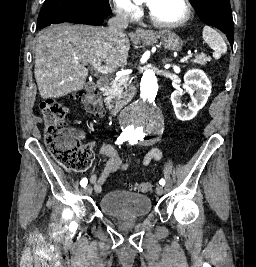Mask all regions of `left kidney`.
I'll return each mask as SVG.
<instances>
[{
  "instance_id": "5707ae66",
  "label": "left kidney",
  "mask_w": 256,
  "mask_h": 267,
  "mask_svg": "<svg viewBox=\"0 0 256 267\" xmlns=\"http://www.w3.org/2000/svg\"><path fill=\"white\" fill-rule=\"evenodd\" d=\"M211 82H209L203 70H188L184 76V84L179 90H174L171 94V102L174 112L181 122H187L195 118L197 112L205 106L211 94ZM183 90L188 92L191 102L188 110H182L181 96Z\"/></svg>"
}]
</instances>
